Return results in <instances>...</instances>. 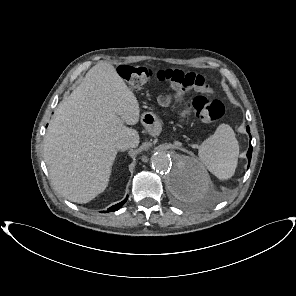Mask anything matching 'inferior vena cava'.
I'll return each instance as SVG.
<instances>
[{"mask_svg": "<svg viewBox=\"0 0 296 296\" xmlns=\"http://www.w3.org/2000/svg\"><path fill=\"white\" fill-rule=\"evenodd\" d=\"M132 147H134V144L129 139H121L116 143V148L120 151H125Z\"/></svg>", "mask_w": 296, "mask_h": 296, "instance_id": "1", "label": "inferior vena cava"}]
</instances>
